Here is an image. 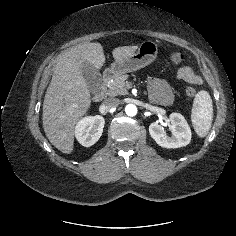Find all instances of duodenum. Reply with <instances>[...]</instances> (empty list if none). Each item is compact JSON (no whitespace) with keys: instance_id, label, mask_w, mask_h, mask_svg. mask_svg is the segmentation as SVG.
I'll return each instance as SVG.
<instances>
[{"instance_id":"410a0bca","label":"duodenum","mask_w":236,"mask_h":236,"mask_svg":"<svg viewBox=\"0 0 236 236\" xmlns=\"http://www.w3.org/2000/svg\"><path fill=\"white\" fill-rule=\"evenodd\" d=\"M113 75H114L113 70L105 71V73L103 74L101 87L97 91H95L92 95V99L95 102H99L105 97L107 84L110 81V79L113 77Z\"/></svg>"}]
</instances>
